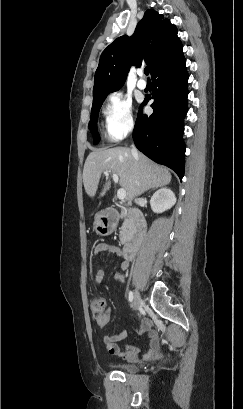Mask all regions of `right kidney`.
Masks as SVG:
<instances>
[{"mask_svg": "<svg viewBox=\"0 0 243 409\" xmlns=\"http://www.w3.org/2000/svg\"><path fill=\"white\" fill-rule=\"evenodd\" d=\"M175 203V194L168 188L157 190L150 199L151 209L157 214L170 209Z\"/></svg>", "mask_w": 243, "mask_h": 409, "instance_id": "1", "label": "right kidney"}]
</instances>
